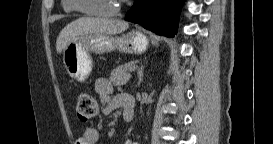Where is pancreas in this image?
I'll list each match as a JSON object with an SVG mask.
<instances>
[{
  "instance_id": "pancreas-1",
  "label": "pancreas",
  "mask_w": 273,
  "mask_h": 144,
  "mask_svg": "<svg viewBox=\"0 0 273 144\" xmlns=\"http://www.w3.org/2000/svg\"><path fill=\"white\" fill-rule=\"evenodd\" d=\"M132 66H133L132 63H127L118 66L111 72L110 81L113 83L114 86H122L129 81L131 76L128 73V70Z\"/></svg>"
}]
</instances>
